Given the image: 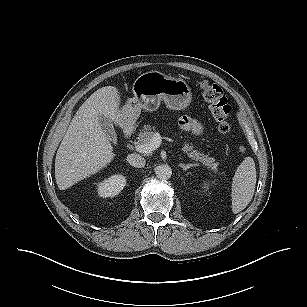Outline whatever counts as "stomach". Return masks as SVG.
Instances as JSON below:
<instances>
[{
  "label": "stomach",
  "mask_w": 307,
  "mask_h": 307,
  "mask_svg": "<svg viewBox=\"0 0 307 307\" xmlns=\"http://www.w3.org/2000/svg\"><path fill=\"white\" fill-rule=\"evenodd\" d=\"M134 97L129 98L121 111L126 114L125 126H133L141 110L155 111L163 100L171 110H184L192 101L190 86L180 78L158 71L141 74L133 83Z\"/></svg>",
  "instance_id": "stomach-1"
}]
</instances>
